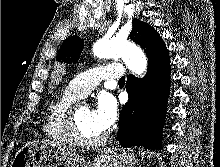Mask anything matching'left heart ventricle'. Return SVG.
<instances>
[{"mask_svg":"<svg viewBox=\"0 0 220 167\" xmlns=\"http://www.w3.org/2000/svg\"><path fill=\"white\" fill-rule=\"evenodd\" d=\"M78 128L81 136L87 140H94L101 137L104 132L100 131L93 123L90 110L85 105H79L77 108Z\"/></svg>","mask_w":220,"mask_h":167,"instance_id":"1","label":"left heart ventricle"}]
</instances>
